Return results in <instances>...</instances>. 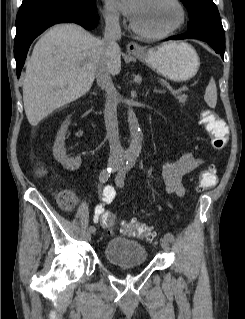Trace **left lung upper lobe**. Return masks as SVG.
<instances>
[{"mask_svg": "<svg viewBox=\"0 0 245 319\" xmlns=\"http://www.w3.org/2000/svg\"><path fill=\"white\" fill-rule=\"evenodd\" d=\"M189 12L187 33L211 36L225 43L220 14L213 0H181Z\"/></svg>", "mask_w": 245, "mask_h": 319, "instance_id": "1", "label": "left lung upper lobe"}]
</instances>
